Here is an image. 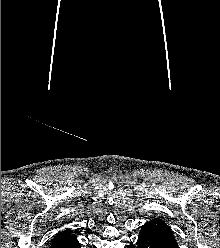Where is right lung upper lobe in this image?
Listing matches in <instances>:
<instances>
[{
  "label": "right lung upper lobe",
  "mask_w": 220,
  "mask_h": 248,
  "mask_svg": "<svg viewBox=\"0 0 220 248\" xmlns=\"http://www.w3.org/2000/svg\"><path fill=\"white\" fill-rule=\"evenodd\" d=\"M73 230L66 229L64 231L58 232L52 240L50 248H53L54 245L63 242L64 240L73 237Z\"/></svg>",
  "instance_id": "right-lung-upper-lobe-1"
}]
</instances>
